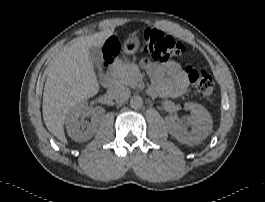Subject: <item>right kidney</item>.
<instances>
[{
	"label": "right kidney",
	"mask_w": 265,
	"mask_h": 202,
	"mask_svg": "<svg viewBox=\"0 0 265 202\" xmlns=\"http://www.w3.org/2000/svg\"><path fill=\"white\" fill-rule=\"evenodd\" d=\"M104 113L105 111L102 107H90L85 101L77 103L69 110L65 118L68 136L76 142H84L91 139L97 131ZM86 116L91 117V122L85 124L81 130L79 118Z\"/></svg>",
	"instance_id": "obj_1"
}]
</instances>
